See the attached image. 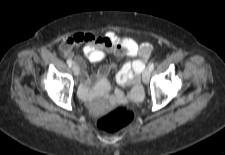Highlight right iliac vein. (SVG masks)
<instances>
[{
	"label": "right iliac vein",
	"mask_w": 225,
	"mask_h": 155,
	"mask_svg": "<svg viewBox=\"0 0 225 155\" xmlns=\"http://www.w3.org/2000/svg\"><path fill=\"white\" fill-rule=\"evenodd\" d=\"M72 70H73V73H74L75 76H78L79 75L80 70H79L78 65L73 64L72 65Z\"/></svg>",
	"instance_id": "right-iliac-vein-1"
}]
</instances>
